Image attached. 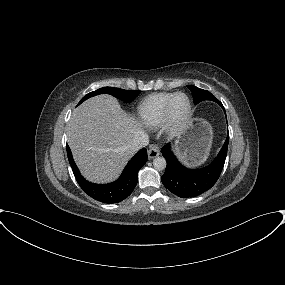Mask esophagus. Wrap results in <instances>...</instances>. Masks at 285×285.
I'll return each mask as SVG.
<instances>
[{"label": "esophagus", "mask_w": 285, "mask_h": 285, "mask_svg": "<svg viewBox=\"0 0 285 285\" xmlns=\"http://www.w3.org/2000/svg\"><path fill=\"white\" fill-rule=\"evenodd\" d=\"M160 154V149L158 145H151L148 150V158L153 159L157 157Z\"/></svg>", "instance_id": "esophagus-1"}]
</instances>
